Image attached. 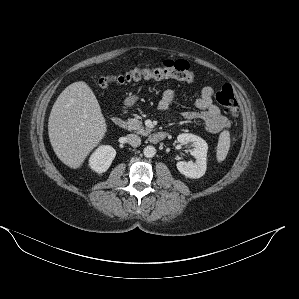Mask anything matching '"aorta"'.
Masks as SVG:
<instances>
[{
	"label": "aorta",
	"instance_id": "aorta-1",
	"mask_svg": "<svg viewBox=\"0 0 299 299\" xmlns=\"http://www.w3.org/2000/svg\"><path fill=\"white\" fill-rule=\"evenodd\" d=\"M143 153H144L145 157L152 158L156 154V149H155V147L149 145L144 148Z\"/></svg>",
	"mask_w": 299,
	"mask_h": 299
}]
</instances>
